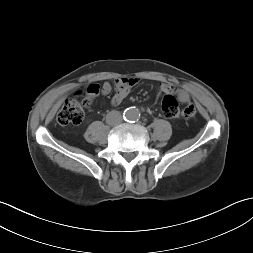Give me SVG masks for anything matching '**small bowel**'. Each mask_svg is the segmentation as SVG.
I'll return each instance as SVG.
<instances>
[{"label": "small bowel", "mask_w": 253, "mask_h": 253, "mask_svg": "<svg viewBox=\"0 0 253 253\" xmlns=\"http://www.w3.org/2000/svg\"><path fill=\"white\" fill-rule=\"evenodd\" d=\"M139 82L138 78L134 77H124L119 78L115 81V93L111 99V103L113 105H119L124 101V99L128 96L130 89L137 85ZM88 91H97V93L100 91L103 95H107L111 92L112 86L110 83L106 82L102 85L101 88H99L96 84H91L87 88ZM161 93L165 94H176L178 99L185 103L180 108V115L184 119H191L195 115V108L191 104V98L189 93L183 89V88H176L173 84L167 81H163L159 84V88L157 91V95H160Z\"/></svg>", "instance_id": "small-bowel-1"}]
</instances>
